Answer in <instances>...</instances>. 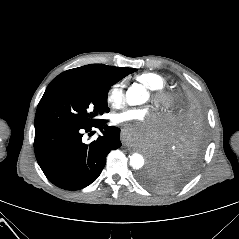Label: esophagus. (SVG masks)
I'll list each match as a JSON object with an SVG mask.
<instances>
[{
    "instance_id": "34e87169",
    "label": "esophagus",
    "mask_w": 239,
    "mask_h": 239,
    "mask_svg": "<svg viewBox=\"0 0 239 239\" xmlns=\"http://www.w3.org/2000/svg\"><path fill=\"white\" fill-rule=\"evenodd\" d=\"M124 130H122V135H121V138H120V142L121 143H124L125 141H126V135L124 134V132H123ZM124 145H127L126 143H124Z\"/></svg>"
}]
</instances>
